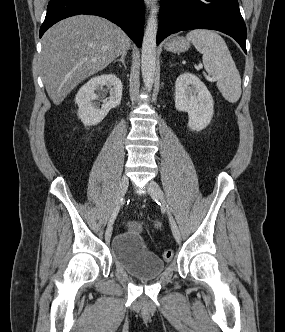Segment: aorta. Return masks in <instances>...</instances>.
Here are the masks:
<instances>
[{"label": "aorta", "mask_w": 285, "mask_h": 332, "mask_svg": "<svg viewBox=\"0 0 285 332\" xmlns=\"http://www.w3.org/2000/svg\"><path fill=\"white\" fill-rule=\"evenodd\" d=\"M157 6L153 5L143 36L141 49V71L146 89L151 90L156 69Z\"/></svg>", "instance_id": "762f6f07"}]
</instances>
